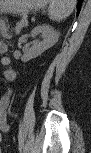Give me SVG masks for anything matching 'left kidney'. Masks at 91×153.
<instances>
[{"instance_id":"1","label":"left kidney","mask_w":91,"mask_h":153,"mask_svg":"<svg viewBox=\"0 0 91 153\" xmlns=\"http://www.w3.org/2000/svg\"><path fill=\"white\" fill-rule=\"evenodd\" d=\"M33 33L42 34V36L44 37V40L41 42H38L36 45H34L32 48H30L27 51L25 56V58L27 59L34 58L40 55L45 50L53 46L58 39V34L55 31V29L47 24H43V25H39L35 27L33 30Z\"/></svg>"}]
</instances>
